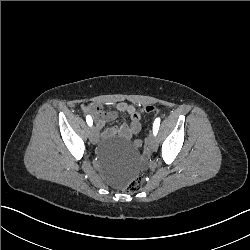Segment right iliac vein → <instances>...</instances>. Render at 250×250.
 <instances>
[{
  "instance_id": "63e3f726",
  "label": "right iliac vein",
  "mask_w": 250,
  "mask_h": 250,
  "mask_svg": "<svg viewBox=\"0 0 250 250\" xmlns=\"http://www.w3.org/2000/svg\"><path fill=\"white\" fill-rule=\"evenodd\" d=\"M89 138H90V141L93 144L97 143V141H98V132H97L95 127L89 130Z\"/></svg>"
}]
</instances>
